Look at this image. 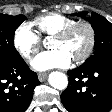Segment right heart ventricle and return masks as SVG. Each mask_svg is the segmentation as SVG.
Masks as SVG:
<instances>
[{
  "label": "right heart ventricle",
  "instance_id": "obj_1",
  "mask_svg": "<svg viewBox=\"0 0 112 112\" xmlns=\"http://www.w3.org/2000/svg\"><path fill=\"white\" fill-rule=\"evenodd\" d=\"M73 18L59 13H48L37 17L32 24L41 35L53 36L65 27L75 23Z\"/></svg>",
  "mask_w": 112,
  "mask_h": 112
}]
</instances>
